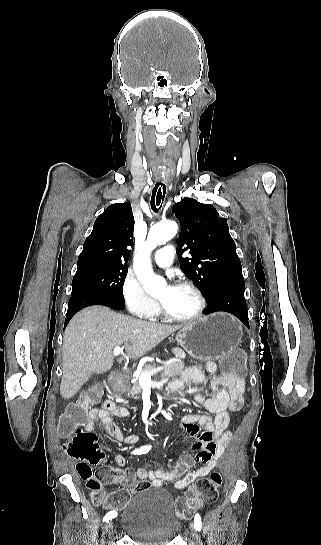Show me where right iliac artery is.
Segmentation results:
<instances>
[{
  "instance_id": "82829eb1",
  "label": "right iliac artery",
  "mask_w": 321,
  "mask_h": 545,
  "mask_svg": "<svg viewBox=\"0 0 321 545\" xmlns=\"http://www.w3.org/2000/svg\"><path fill=\"white\" fill-rule=\"evenodd\" d=\"M150 449H151V445L143 446V447H141V448H139V449H136V450L133 452V454H135V455H136V454L140 455V454H143V453H147ZM116 516H117V513H116L115 511H110V512H108V513L104 516L103 521L108 522L110 519H113V518L116 517Z\"/></svg>"
}]
</instances>
